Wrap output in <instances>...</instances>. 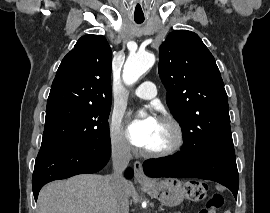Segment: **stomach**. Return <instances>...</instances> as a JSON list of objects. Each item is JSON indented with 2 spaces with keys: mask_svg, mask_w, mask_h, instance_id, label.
Instances as JSON below:
<instances>
[{
  "mask_svg": "<svg viewBox=\"0 0 270 213\" xmlns=\"http://www.w3.org/2000/svg\"><path fill=\"white\" fill-rule=\"evenodd\" d=\"M143 187L150 195L169 207L180 204L184 199L182 182L176 178L153 180Z\"/></svg>",
  "mask_w": 270,
  "mask_h": 213,
  "instance_id": "obj_1",
  "label": "stomach"
}]
</instances>
